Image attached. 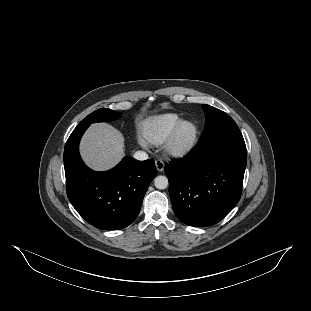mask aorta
Segmentation results:
<instances>
[{
	"label": "aorta",
	"mask_w": 311,
	"mask_h": 311,
	"mask_svg": "<svg viewBox=\"0 0 311 311\" xmlns=\"http://www.w3.org/2000/svg\"><path fill=\"white\" fill-rule=\"evenodd\" d=\"M154 185L157 189H166L169 186L168 178L164 175L156 176L154 179Z\"/></svg>",
	"instance_id": "aorta-1"
}]
</instances>
